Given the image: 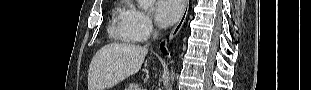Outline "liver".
I'll list each match as a JSON object with an SVG mask.
<instances>
[{
  "label": "liver",
  "mask_w": 311,
  "mask_h": 90,
  "mask_svg": "<svg viewBox=\"0 0 311 90\" xmlns=\"http://www.w3.org/2000/svg\"><path fill=\"white\" fill-rule=\"evenodd\" d=\"M148 49L135 44L111 43L98 50L88 70V90L112 88L137 73Z\"/></svg>",
  "instance_id": "6515ba94"
}]
</instances>
